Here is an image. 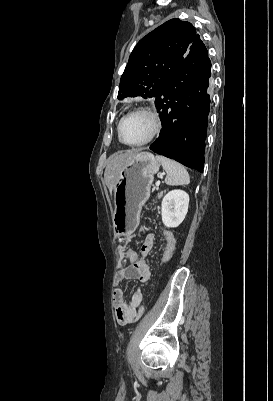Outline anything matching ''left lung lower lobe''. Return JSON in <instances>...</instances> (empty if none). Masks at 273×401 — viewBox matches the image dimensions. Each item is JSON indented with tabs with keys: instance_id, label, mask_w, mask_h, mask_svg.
<instances>
[{
	"instance_id": "obj_1",
	"label": "left lung lower lobe",
	"mask_w": 273,
	"mask_h": 401,
	"mask_svg": "<svg viewBox=\"0 0 273 401\" xmlns=\"http://www.w3.org/2000/svg\"><path fill=\"white\" fill-rule=\"evenodd\" d=\"M210 77L208 51L198 37L155 97L163 128L150 149L199 172L204 167Z\"/></svg>"
}]
</instances>
